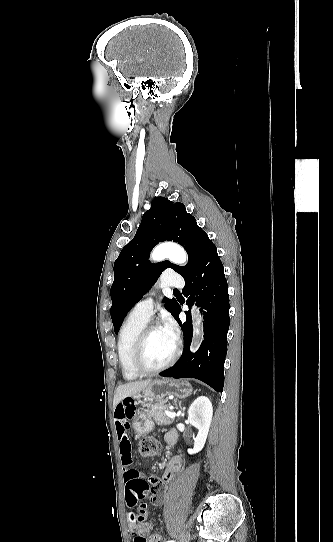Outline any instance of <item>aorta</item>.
<instances>
[{
    "label": "aorta",
    "instance_id": "1",
    "mask_svg": "<svg viewBox=\"0 0 333 542\" xmlns=\"http://www.w3.org/2000/svg\"><path fill=\"white\" fill-rule=\"evenodd\" d=\"M152 260H163V258H169L171 262H175V264H185L187 260V254L181 246H177V244H163V246H158L156 250H154L152 256ZM197 318V316H195ZM195 334H198L197 328H195ZM197 346V342L195 344Z\"/></svg>",
    "mask_w": 333,
    "mask_h": 542
}]
</instances>
